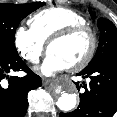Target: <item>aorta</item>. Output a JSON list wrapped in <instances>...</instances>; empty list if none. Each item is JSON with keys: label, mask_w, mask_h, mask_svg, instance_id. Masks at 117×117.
I'll list each match as a JSON object with an SVG mask.
<instances>
[{"label": "aorta", "mask_w": 117, "mask_h": 117, "mask_svg": "<svg viewBox=\"0 0 117 117\" xmlns=\"http://www.w3.org/2000/svg\"><path fill=\"white\" fill-rule=\"evenodd\" d=\"M61 96L58 98L56 105L59 109L67 112L75 108L76 106V94L72 93H66V92H60Z\"/></svg>", "instance_id": "762f6f07"}]
</instances>
